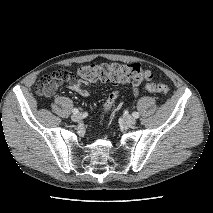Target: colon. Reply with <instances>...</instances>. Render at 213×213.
<instances>
[{"mask_svg":"<svg viewBox=\"0 0 213 213\" xmlns=\"http://www.w3.org/2000/svg\"><path fill=\"white\" fill-rule=\"evenodd\" d=\"M78 76L88 82H106L112 84H146V88L155 93H166L169 87L166 84H155L152 82L153 74L150 70L143 68L138 63H100L83 66L78 71ZM73 76L68 71L59 70L50 76H44L37 85V92L43 94L52 83L73 81ZM119 97L118 91H113L108 96L104 105V114H108Z\"/></svg>","mask_w":213,"mask_h":213,"instance_id":"1","label":"colon"}]
</instances>
